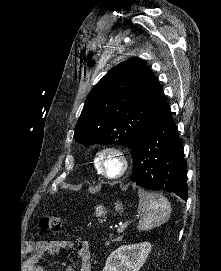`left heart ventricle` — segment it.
Masks as SVG:
<instances>
[{
  "label": "left heart ventricle",
  "mask_w": 221,
  "mask_h": 271,
  "mask_svg": "<svg viewBox=\"0 0 221 271\" xmlns=\"http://www.w3.org/2000/svg\"><path fill=\"white\" fill-rule=\"evenodd\" d=\"M106 169V177H120V172H118V169H121V166L108 165L106 166Z\"/></svg>",
  "instance_id": "left-heart-ventricle-1"
}]
</instances>
